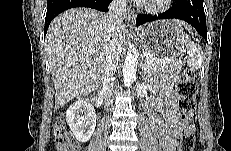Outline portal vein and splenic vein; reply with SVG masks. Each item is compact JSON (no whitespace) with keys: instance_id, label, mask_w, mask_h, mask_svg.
I'll return each instance as SVG.
<instances>
[{"instance_id":"portal-vein-and-splenic-vein-1","label":"portal vein and splenic vein","mask_w":231,"mask_h":151,"mask_svg":"<svg viewBox=\"0 0 231 151\" xmlns=\"http://www.w3.org/2000/svg\"><path fill=\"white\" fill-rule=\"evenodd\" d=\"M143 57H145V58H152L151 55L146 54V53H143ZM156 60L158 62H162V63H168V62H170V60L168 58H161V59L157 58Z\"/></svg>"}]
</instances>
